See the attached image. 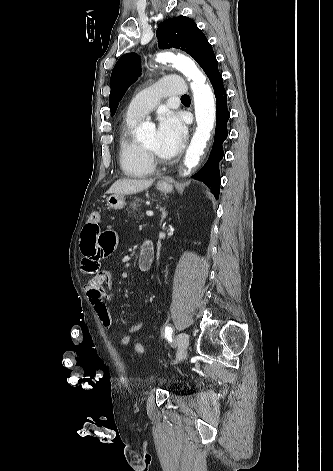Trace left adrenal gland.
Wrapping results in <instances>:
<instances>
[{"mask_svg":"<svg viewBox=\"0 0 333 471\" xmlns=\"http://www.w3.org/2000/svg\"><path fill=\"white\" fill-rule=\"evenodd\" d=\"M160 211L162 213L161 220H160V226H161L168 213L166 212V208H161Z\"/></svg>","mask_w":333,"mask_h":471,"instance_id":"obj_1","label":"left adrenal gland"}]
</instances>
